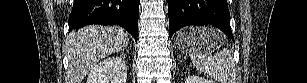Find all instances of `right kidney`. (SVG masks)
Instances as JSON below:
<instances>
[{
    "label": "right kidney",
    "instance_id": "1",
    "mask_svg": "<svg viewBox=\"0 0 307 83\" xmlns=\"http://www.w3.org/2000/svg\"><path fill=\"white\" fill-rule=\"evenodd\" d=\"M127 66L123 58L116 56L96 64L90 71L87 83H126Z\"/></svg>",
    "mask_w": 307,
    "mask_h": 83
}]
</instances>
